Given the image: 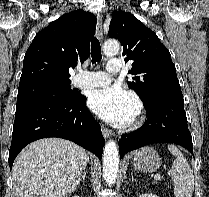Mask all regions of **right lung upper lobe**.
Masks as SVG:
<instances>
[{"label":"right lung upper lobe","instance_id":"1","mask_svg":"<svg viewBox=\"0 0 209 197\" xmlns=\"http://www.w3.org/2000/svg\"><path fill=\"white\" fill-rule=\"evenodd\" d=\"M96 17L84 10L65 13L36 34L23 61L19 86L70 81L69 68L89 56Z\"/></svg>","mask_w":209,"mask_h":197}]
</instances>
